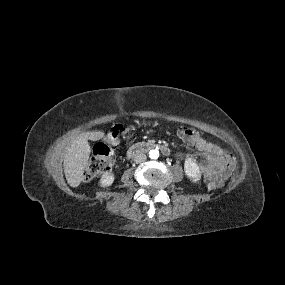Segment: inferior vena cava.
Listing matches in <instances>:
<instances>
[{
  "label": "inferior vena cava",
  "instance_id": "602c4592",
  "mask_svg": "<svg viewBox=\"0 0 285 285\" xmlns=\"http://www.w3.org/2000/svg\"><path fill=\"white\" fill-rule=\"evenodd\" d=\"M146 159H147V156L143 153H140L134 157V162L137 164H141V163H144Z\"/></svg>",
  "mask_w": 285,
  "mask_h": 285
}]
</instances>
